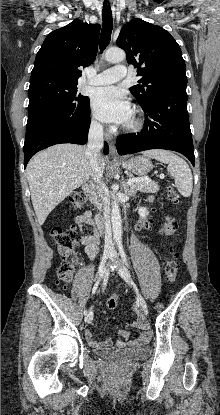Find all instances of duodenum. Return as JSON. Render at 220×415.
I'll return each mask as SVG.
<instances>
[{
  "mask_svg": "<svg viewBox=\"0 0 220 415\" xmlns=\"http://www.w3.org/2000/svg\"><path fill=\"white\" fill-rule=\"evenodd\" d=\"M85 192L87 193V195L92 199L95 195L96 192V185L92 184V185H86L84 187ZM96 225H97V229H98V234L99 236H101L104 232L105 229V225H106V220L103 217L102 213H99L96 216Z\"/></svg>",
  "mask_w": 220,
  "mask_h": 415,
  "instance_id": "obj_1",
  "label": "duodenum"
}]
</instances>
